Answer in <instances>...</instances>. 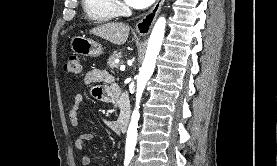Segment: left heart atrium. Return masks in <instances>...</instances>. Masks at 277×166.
I'll use <instances>...</instances> for the list:
<instances>
[{
    "label": "left heart atrium",
    "instance_id": "obj_1",
    "mask_svg": "<svg viewBox=\"0 0 277 166\" xmlns=\"http://www.w3.org/2000/svg\"><path fill=\"white\" fill-rule=\"evenodd\" d=\"M126 3L134 8L143 9L150 6L155 0H125Z\"/></svg>",
    "mask_w": 277,
    "mask_h": 166
}]
</instances>
